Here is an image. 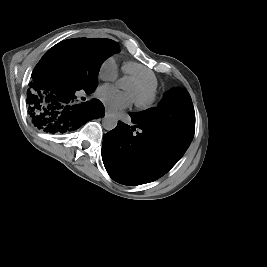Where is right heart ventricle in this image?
<instances>
[{"label": "right heart ventricle", "mask_w": 267, "mask_h": 267, "mask_svg": "<svg viewBox=\"0 0 267 267\" xmlns=\"http://www.w3.org/2000/svg\"><path fill=\"white\" fill-rule=\"evenodd\" d=\"M123 70L128 77L140 82L152 93H156L158 80L152 70L135 62L125 63Z\"/></svg>", "instance_id": "right-heart-ventricle-1"}]
</instances>
